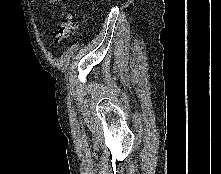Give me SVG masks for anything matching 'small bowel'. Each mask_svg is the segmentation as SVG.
Returning a JSON list of instances; mask_svg holds the SVG:
<instances>
[{"label": "small bowel", "instance_id": "small-bowel-1", "mask_svg": "<svg viewBox=\"0 0 221 174\" xmlns=\"http://www.w3.org/2000/svg\"><path fill=\"white\" fill-rule=\"evenodd\" d=\"M51 2H53V3H59V2H61L62 0H50Z\"/></svg>", "mask_w": 221, "mask_h": 174}]
</instances>
